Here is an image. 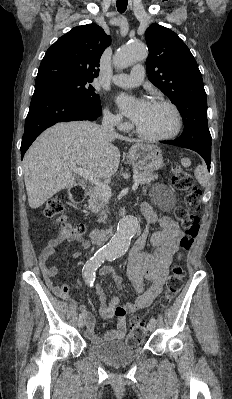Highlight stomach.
I'll use <instances>...</instances> for the list:
<instances>
[{
  "label": "stomach",
  "instance_id": "stomach-1",
  "mask_svg": "<svg viewBox=\"0 0 232 399\" xmlns=\"http://www.w3.org/2000/svg\"><path fill=\"white\" fill-rule=\"evenodd\" d=\"M127 158L132 168H137L140 172H153L163 166L162 150L151 144H134Z\"/></svg>",
  "mask_w": 232,
  "mask_h": 399
}]
</instances>
